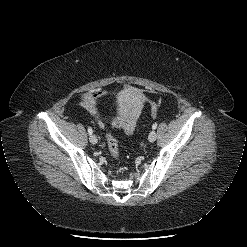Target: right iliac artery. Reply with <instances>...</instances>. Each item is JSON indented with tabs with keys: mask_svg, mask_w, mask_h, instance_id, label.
<instances>
[{
	"mask_svg": "<svg viewBox=\"0 0 247 247\" xmlns=\"http://www.w3.org/2000/svg\"><path fill=\"white\" fill-rule=\"evenodd\" d=\"M88 133L91 135L93 133V130L91 127H88Z\"/></svg>",
	"mask_w": 247,
	"mask_h": 247,
	"instance_id": "82829eb1",
	"label": "right iliac artery"
}]
</instances>
